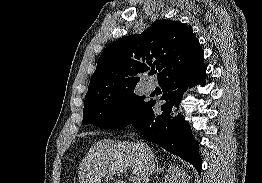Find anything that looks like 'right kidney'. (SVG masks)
<instances>
[{"label": "right kidney", "instance_id": "1", "mask_svg": "<svg viewBox=\"0 0 262 183\" xmlns=\"http://www.w3.org/2000/svg\"><path fill=\"white\" fill-rule=\"evenodd\" d=\"M188 174L179 166H171L165 176V183H189Z\"/></svg>", "mask_w": 262, "mask_h": 183}]
</instances>
